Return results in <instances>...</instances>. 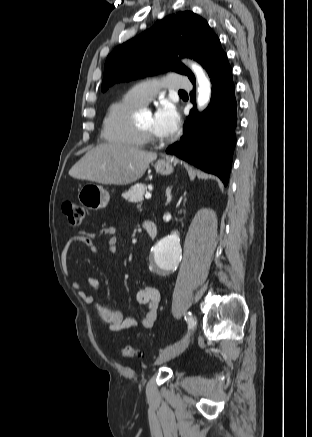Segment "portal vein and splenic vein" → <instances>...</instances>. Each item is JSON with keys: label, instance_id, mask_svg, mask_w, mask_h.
Masks as SVG:
<instances>
[{"label": "portal vein and splenic vein", "instance_id": "18ae733b", "mask_svg": "<svg viewBox=\"0 0 312 437\" xmlns=\"http://www.w3.org/2000/svg\"><path fill=\"white\" fill-rule=\"evenodd\" d=\"M145 198H146V199H150V198H151V194H150V193H146V194H145Z\"/></svg>", "mask_w": 312, "mask_h": 437}]
</instances>
